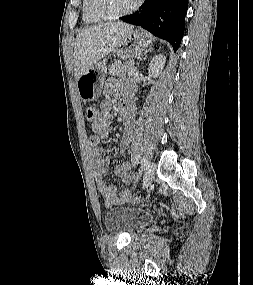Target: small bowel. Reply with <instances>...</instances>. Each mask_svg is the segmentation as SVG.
I'll list each match as a JSON object with an SVG mask.
<instances>
[{
	"label": "small bowel",
	"instance_id": "obj_1",
	"mask_svg": "<svg viewBox=\"0 0 253 285\" xmlns=\"http://www.w3.org/2000/svg\"><path fill=\"white\" fill-rule=\"evenodd\" d=\"M134 87L131 83L123 82L116 78L108 79L104 84L103 92L106 96L116 95L119 103V111L122 118L124 132L120 142V151L128 149L133 139L135 105L132 100ZM113 106L110 101H103L100 104V111H96L92 122L93 135L88 139V145L92 149L91 159L93 164L94 180L96 187L103 198L106 207L122 204L126 201L123 195L125 190H118L114 185L107 184L103 175L108 172L111 166V158L104 155L99 148L101 140L107 138L110 133L109 114ZM131 165L123 163L115 166L114 173L122 183H129L132 180Z\"/></svg>",
	"mask_w": 253,
	"mask_h": 285
}]
</instances>
